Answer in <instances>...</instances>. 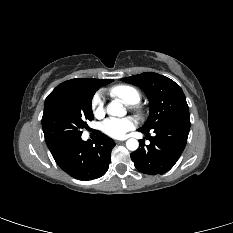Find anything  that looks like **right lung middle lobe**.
Wrapping results in <instances>:
<instances>
[{
  "label": "right lung middle lobe",
  "instance_id": "obj_1",
  "mask_svg": "<svg viewBox=\"0 0 233 233\" xmlns=\"http://www.w3.org/2000/svg\"><path fill=\"white\" fill-rule=\"evenodd\" d=\"M113 81V80H111ZM98 88H83L57 97L45 109L42 127L48 148L82 135L93 120L91 101Z\"/></svg>",
  "mask_w": 233,
  "mask_h": 233
}]
</instances>
